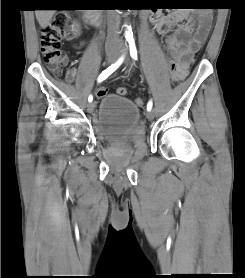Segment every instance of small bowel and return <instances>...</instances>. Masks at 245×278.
I'll use <instances>...</instances> for the list:
<instances>
[{
    "label": "small bowel",
    "mask_w": 245,
    "mask_h": 278,
    "mask_svg": "<svg viewBox=\"0 0 245 278\" xmlns=\"http://www.w3.org/2000/svg\"><path fill=\"white\" fill-rule=\"evenodd\" d=\"M209 15L207 12L195 10L190 15L173 12L168 16L156 14L152 17L155 31L165 36L164 45L170 57L171 66L174 65L182 77L186 76L190 62L208 36V30L204 24ZM75 76V68H69L66 80L73 82ZM105 94L97 92L99 97Z\"/></svg>",
    "instance_id": "c3829d8e"
}]
</instances>
